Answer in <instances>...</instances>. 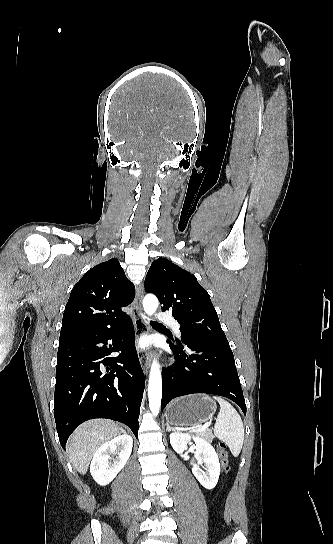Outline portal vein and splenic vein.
<instances>
[{"label": "portal vein and splenic vein", "mask_w": 333, "mask_h": 544, "mask_svg": "<svg viewBox=\"0 0 333 544\" xmlns=\"http://www.w3.org/2000/svg\"><path fill=\"white\" fill-rule=\"evenodd\" d=\"M209 425H210V423H205V424H203V425H201V426H198V427L192 429V432H201V431H204V430H206V429L208 428Z\"/></svg>", "instance_id": "portal-vein-and-splenic-vein-1"}]
</instances>
